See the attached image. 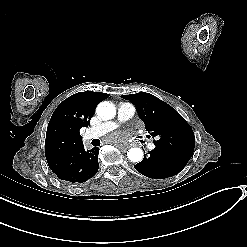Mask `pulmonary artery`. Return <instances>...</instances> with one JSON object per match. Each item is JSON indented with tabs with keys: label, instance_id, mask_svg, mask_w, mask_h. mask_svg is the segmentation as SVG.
Returning <instances> with one entry per match:
<instances>
[{
	"label": "pulmonary artery",
	"instance_id": "pulmonary-artery-1",
	"mask_svg": "<svg viewBox=\"0 0 247 247\" xmlns=\"http://www.w3.org/2000/svg\"><path fill=\"white\" fill-rule=\"evenodd\" d=\"M135 114V107L132 105L126 103V102H121L118 105L117 109V118L120 121H125L129 118H131ZM118 120H113L111 122L107 123H102L100 125L95 126H90L88 128V131H86L83 135V140L88 141L90 139L95 138L96 133L97 134H102V133H108L109 131H115L120 127V122ZM146 147L148 150L153 151L156 149L157 144L155 141L150 140L147 142Z\"/></svg>",
	"mask_w": 247,
	"mask_h": 247
}]
</instances>
